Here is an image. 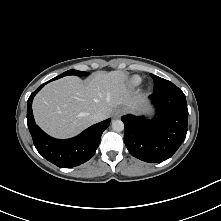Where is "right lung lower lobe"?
I'll use <instances>...</instances> for the list:
<instances>
[{"label": "right lung lower lobe", "mask_w": 221, "mask_h": 221, "mask_svg": "<svg viewBox=\"0 0 221 221\" xmlns=\"http://www.w3.org/2000/svg\"><path fill=\"white\" fill-rule=\"evenodd\" d=\"M48 82L37 88L27 102V124L34 146L40 155L60 168L78 166L95 154L101 135L109 126L111 119L92 125L71 139L59 140L50 137L35 124L31 108L34 96Z\"/></svg>", "instance_id": "1"}]
</instances>
